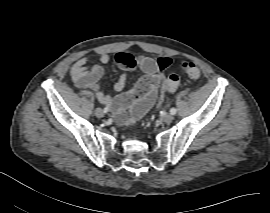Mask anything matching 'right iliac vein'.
<instances>
[{"instance_id": "right-iliac-vein-1", "label": "right iliac vein", "mask_w": 270, "mask_h": 213, "mask_svg": "<svg viewBox=\"0 0 270 213\" xmlns=\"http://www.w3.org/2000/svg\"><path fill=\"white\" fill-rule=\"evenodd\" d=\"M95 115L98 117V118H101V117H103V111H102V109L101 108H96L95 109Z\"/></svg>"}]
</instances>
